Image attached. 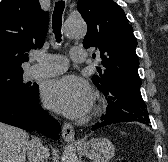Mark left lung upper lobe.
Instances as JSON below:
<instances>
[{"label":"left lung upper lobe","mask_w":168,"mask_h":162,"mask_svg":"<svg viewBox=\"0 0 168 162\" xmlns=\"http://www.w3.org/2000/svg\"><path fill=\"white\" fill-rule=\"evenodd\" d=\"M77 8L88 27L83 46L95 47L104 67L92 77L94 85L101 91L118 85L140 89L137 40L123 9L113 0H79Z\"/></svg>","instance_id":"1"}]
</instances>
